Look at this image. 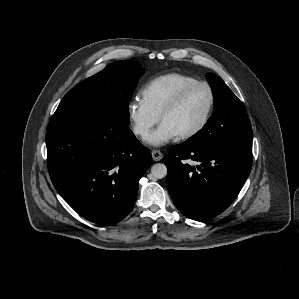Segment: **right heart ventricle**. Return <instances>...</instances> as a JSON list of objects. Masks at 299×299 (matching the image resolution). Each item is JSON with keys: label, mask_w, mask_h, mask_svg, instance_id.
I'll return each instance as SVG.
<instances>
[{"label": "right heart ventricle", "mask_w": 299, "mask_h": 299, "mask_svg": "<svg viewBox=\"0 0 299 299\" xmlns=\"http://www.w3.org/2000/svg\"><path fill=\"white\" fill-rule=\"evenodd\" d=\"M197 81L193 76L183 73H168L148 82L141 90V100L156 115L173 96L185 85Z\"/></svg>", "instance_id": "1"}]
</instances>
